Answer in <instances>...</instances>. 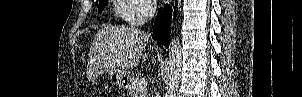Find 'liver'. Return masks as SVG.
<instances>
[{
	"label": "liver",
	"instance_id": "obj_1",
	"mask_svg": "<svg viewBox=\"0 0 302 97\" xmlns=\"http://www.w3.org/2000/svg\"><path fill=\"white\" fill-rule=\"evenodd\" d=\"M149 35L133 27H105L97 32L89 52V64L95 74L102 71L132 69L140 58L145 62L148 55L142 54Z\"/></svg>",
	"mask_w": 302,
	"mask_h": 97
}]
</instances>
